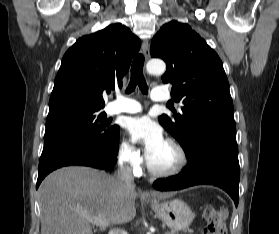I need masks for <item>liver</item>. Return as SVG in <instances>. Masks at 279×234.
Segmentation results:
<instances>
[{"label": "liver", "mask_w": 279, "mask_h": 234, "mask_svg": "<svg viewBox=\"0 0 279 234\" xmlns=\"http://www.w3.org/2000/svg\"><path fill=\"white\" fill-rule=\"evenodd\" d=\"M139 195L135 186H127L103 171L61 168L49 174L39 187L41 234H93L85 214L104 216L114 224L128 222L136 215ZM146 195L158 199L170 196L157 191Z\"/></svg>", "instance_id": "liver-1"}]
</instances>
